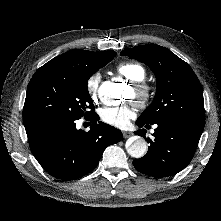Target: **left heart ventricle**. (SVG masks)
<instances>
[{"label":"left heart ventricle","instance_id":"1","mask_svg":"<svg viewBox=\"0 0 221 221\" xmlns=\"http://www.w3.org/2000/svg\"><path fill=\"white\" fill-rule=\"evenodd\" d=\"M129 95H130V96H133V89H132V88H131L130 91H129Z\"/></svg>","mask_w":221,"mask_h":221}]
</instances>
